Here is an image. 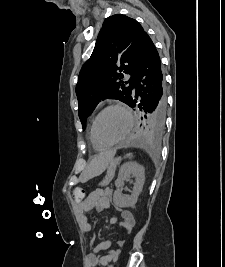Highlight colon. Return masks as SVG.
Here are the masks:
<instances>
[{
    "mask_svg": "<svg viewBox=\"0 0 225 267\" xmlns=\"http://www.w3.org/2000/svg\"><path fill=\"white\" fill-rule=\"evenodd\" d=\"M84 196H85V192L82 186H76L73 189V198L76 201H82L84 199ZM108 267H112V266H108Z\"/></svg>",
    "mask_w": 225,
    "mask_h": 267,
    "instance_id": "colon-1",
    "label": "colon"
}]
</instances>
